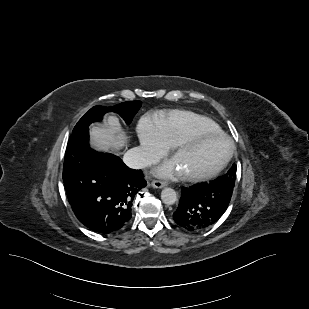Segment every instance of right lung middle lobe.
<instances>
[{"label": "right lung middle lobe", "mask_w": 309, "mask_h": 309, "mask_svg": "<svg viewBox=\"0 0 309 309\" xmlns=\"http://www.w3.org/2000/svg\"><path fill=\"white\" fill-rule=\"evenodd\" d=\"M140 107V101L123 102L108 108L103 106H94L79 120L74 127L73 132L88 127L92 122L100 121L103 118V115L110 111L119 114L129 125Z\"/></svg>", "instance_id": "obj_1"}]
</instances>
